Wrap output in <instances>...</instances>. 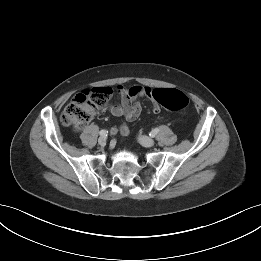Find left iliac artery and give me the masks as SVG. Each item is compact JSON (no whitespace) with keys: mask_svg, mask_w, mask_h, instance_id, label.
I'll use <instances>...</instances> for the list:
<instances>
[{"mask_svg":"<svg viewBox=\"0 0 261 261\" xmlns=\"http://www.w3.org/2000/svg\"><path fill=\"white\" fill-rule=\"evenodd\" d=\"M158 132H159V129H158V128H155V129H153V130L150 132V136L154 137Z\"/></svg>","mask_w":261,"mask_h":261,"instance_id":"left-iliac-artery-1","label":"left iliac artery"}]
</instances>
